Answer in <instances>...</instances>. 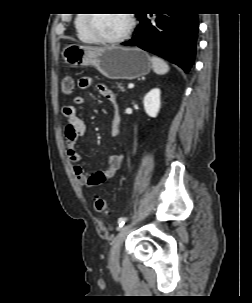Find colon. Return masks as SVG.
I'll use <instances>...</instances> for the list:
<instances>
[{
    "label": "colon",
    "mask_w": 252,
    "mask_h": 303,
    "mask_svg": "<svg viewBox=\"0 0 252 303\" xmlns=\"http://www.w3.org/2000/svg\"><path fill=\"white\" fill-rule=\"evenodd\" d=\"M75 87V81L72 76L66 75L61 80V92L69 96L73 93ZM102 179V177H101ZM94 209L102 216H108L110 213V207L108 202L101 197H96L94 202Z\"/></svg>",
    "instance_id": "obj_1"
}]
</instances>
